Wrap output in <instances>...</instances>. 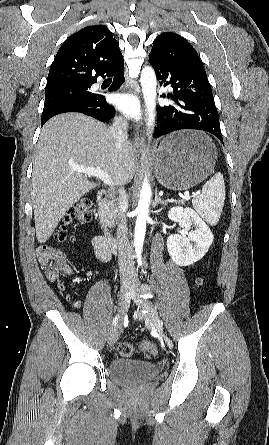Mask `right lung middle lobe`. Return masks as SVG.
I'll use <instances>...</instances> for the list:
<instances>
[{"instance_id": "dd1d6c3e", "label": "right lung middle lobe", "mask_w": 269, "mask_h": 445, "mask_svg": "<svg viewBox=\"0 0 269 445\" xmlns=\"http://www.w3.org/2000/svg\"><path fill=\"white\" fill-rule=\"evenodd\" d=\"M92 83L65 85L45 89V103L41 117V124L55 116L63 108L84 105L96 97L88 89Z\"/></svg>"}]
</instances>
